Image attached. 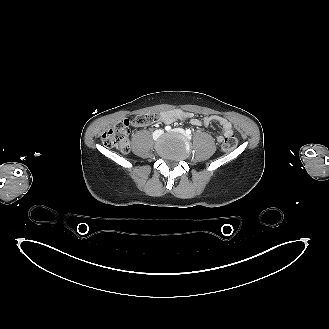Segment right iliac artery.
Returning <instances> with one entry per match:
<instances>
[{
	"label": "right iliac artery",
	"mask_w": 329,
	"mask_h": 329,
	"mask_svg": "<svg viewBox=\"0 0 329 329\" xmlns=\"http://www.w3.org/2000/svg\"><path fill=\"white\" fill-rule=\"evenodd\" d=\"M165 130L169 131V130H171V127L170 126H166L165 127Z\"/></svg>",
	"instance_id": "82829eb1"
}]
</instances>
